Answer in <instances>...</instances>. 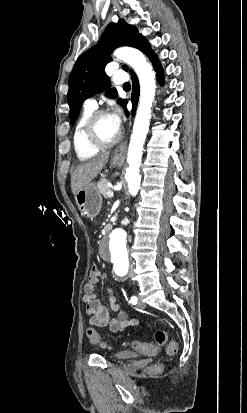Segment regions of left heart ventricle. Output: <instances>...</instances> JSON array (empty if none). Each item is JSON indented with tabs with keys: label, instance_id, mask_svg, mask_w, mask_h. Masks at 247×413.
I'll return each mask as SVG.
<instances>
[{
	"label": "left heart ventricle",
	"instance_id": "1",
	"mask_svg": "<svg viewBox=\"0 0 247 413\" xmlns=\"http://www.w3.org/2000/svg\"><path fill=\"white\" fill-rule=\"evenodd\" d=\"M96 132L98 137L103 141H111L117 137V133L108 126L104 118H100L97 123Z\"/></svg>",
	"mask_w": 247,
	"mask_h": 413
}]
</instances>
